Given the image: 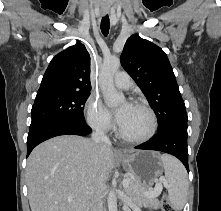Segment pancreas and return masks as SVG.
Instances as JSON below:
<instances>
[{
	"instance_id": "obj_1",
	"label": "pancreas",
	"mask_w": 221,
	"mask_h": 211,
	"mask_svg": "<svg viewBox=\"0 0 221 211\" xmlns=\"http://www.w3.org/2000/svg\"><path fill=\"white\" fill-rule=\"evenodd\" d=\"M129 179L130 183L129 185L125 188V192L128 196V198L131 201V204H137L139 206H146V205H150L153 207H159L160 203L158 202V200L156 199V197L154 198H150L148 196L145 195V192L150 190L148 188H144L138 181Z\"/></svg>"
}]
</instances>
